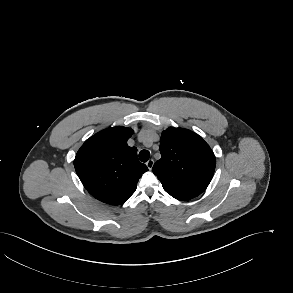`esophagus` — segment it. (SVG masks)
Wrapping results in <instances>:
<instances>
[{"label":"esophagus","mask_w":293,"mask_h":293,"mask_svg":"<svg viewBox=\"0 0 293 293\" xmlns=\"http://www.w3.org/2000/svg\"><path fill=\"white\" fill-rule=\"evenodd\" d=\"M146 165H147L148 169L151 170L154 165V160L153 159L148 160Z\"/></svg>","instance_id":"34e87169"}]
</instances>
